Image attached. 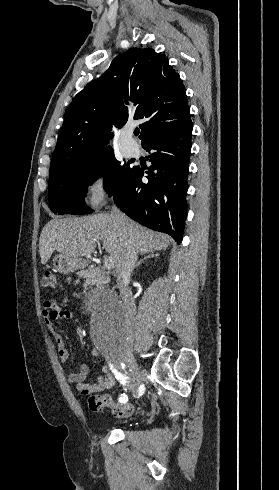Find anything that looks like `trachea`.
Instances as JSON below:
<instances>
[{"mask_svg": "<svg viewBox=\"0 0 279 490\" xmlns=\"http://www.w3.org/2000/svg\"><path fill=\"white\" fill-rule=\"evenodd\" d=\"M139 133H140V130H139V129H136V130L134 131V135H135L136 137L139 135Z\"/></svg>", "mask_w": 279, "mask_h": 490, "instance_id": "trachea-1", "label": "trachea"}]
</instances>
